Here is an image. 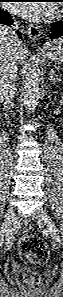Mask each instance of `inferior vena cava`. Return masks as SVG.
I'll list each match as a JSON object with an SVG mask.
<instances>
[{
	"mask_svg": "<svg viewBox=\"0 0 63 297\" xmlns=\"http://www.w3.org/2000/svg\"><path fill=\"white\" fill-rule=\"evenodd\" d=\"M14 24L17 26V22ZM3 30L9 34V44L0 55V100L4 108L9 110L16 91L15 81L18 70L16 46L20 41L11 28L3 27Z\"/></svg>",
	"mask_w": 63,
	"mask_h": 297,
	"instance_id": "obj_1",
	"label": "inferior vena cava"
}]
</instances>
